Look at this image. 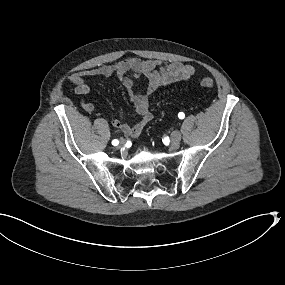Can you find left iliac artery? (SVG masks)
<instances>
[{"mask_svg": "<svg viewBox=\"0 0 285 285\" xmlns=\"http://www.w3.org/2000/svg\"><path fill=\"white\" fill-rule=\"evenodd\" d=\"M178 117H179L180 119H184L185 114H184L183 112H180V113L178 114Z\"/></svg>", "mask_w": 285, "mask_h": 285, "instance_id": "44dca946", "label": "left iliac artery"}]
</instances>
